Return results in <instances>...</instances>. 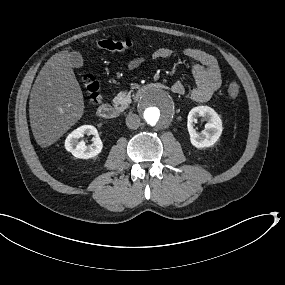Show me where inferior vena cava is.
Masks as SVG:
<instances>
[{
	"mask_svg": "<svg viewBox=\"0 0 285 285\" xmlns=\"http://www.w3.org/2000/svg\"><path fill=\"white\" fill-rule=\"evenodd\" d=\"M126 125L129 129H137L140 126V118L136 114H129L126 117Z\"/></svg>",
	"mask_w": 285,
	"mask_h": 285,
	"instance_id": "1",
	"label": "inferior vena cava"
}]
</instances>
